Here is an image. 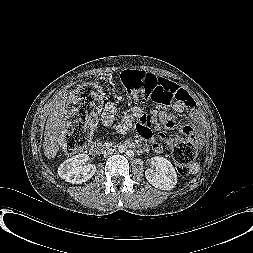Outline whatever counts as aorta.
I'll use <instances>...</instances> for the list:
<instances>
[{
  "label": "aorta",
  "instance_id": "762f6f07",
  "mask_svg": "<svg viewBox=\"0 0 253 253\" xmlns=\"http://www.w3.org/2000/svg\"><path fill=\"white\" fill-rule=\"evenodd\" d=\"M115 149L118 153L123 154L126 152L127 146L125 143L122 142L119 145H117Z\"/></svg>",
  "mask_w": 253,
  "mask_h": 253
}]
</instances>
